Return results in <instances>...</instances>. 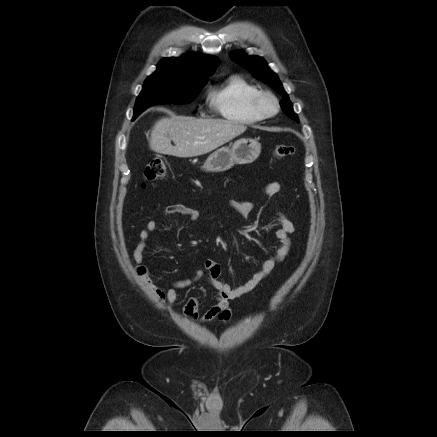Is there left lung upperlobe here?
<instances>
[{"instance_id":"left-lung-upper-lobe-1","label":"left lung upper lobe","mask_w":437,"mask_h":437,"mask_svg":"<svg viewBox=\"0 0 437 437\" xmlns=\"http://www.w3.org/2000/svg\"><path fill=\"white\" fill-rule=\"evenodd\" d=\"M230 58L234 62L251 72L254 77L268 84L280 95H282L283 99L280 102L282 110L287 116H289L296 122H299L297 115L293 111L292 103L289 100L288 95L285 92L280 80L261 57L247 56L243 52L237 51L232 53L230 55Z\"/></svg>"}]
</instances>
